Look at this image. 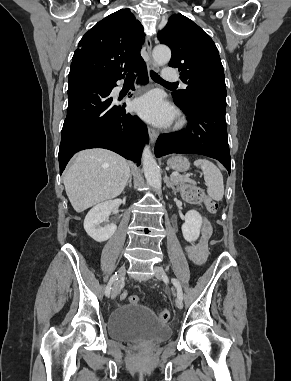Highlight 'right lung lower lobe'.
I'll return each instance as SVG.
<instances>
[{"mask_svg": "<svg viewBox=\"0 0 291 381\" xmlns=\"http://www.w3.org/2000/svg\"><path fill=\"white\" fill-rule=\"evenodd\" d=\"M135 70L138 82L147 83L145 63ZM116 81L69 75L67 117L58 154L60 174L76 152L88 148L109 149L140 164L142 147L149 139L147 127L138 116L126 113L125 103L114 104L110 93Z\"/></svg>", "mask_w": 291, "mask_h": 381, "instance_id": "1", "label": "right lung lower lobe"}]
</instances>
